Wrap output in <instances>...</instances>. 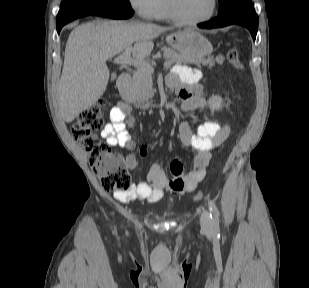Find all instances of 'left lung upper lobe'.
I'll use <instances>...</instances> for the list:
<instances>
[{
  "label": "left lung upper lobe",
  "instance_id": "obj_1",
  "mask_svg": "<svg viewBox=\"0 0 309 288\" xmlns=\"http://www.w3.org/2000/svg\"><path fill=\"white\" fill-rule=\"evenodd\" d=\"M248 4H252L251 0H219L218 16L228 14L233 10Z\"/></svg>",
  "mask_w": 309,
  "mask_h": 288
}]
</instances>
